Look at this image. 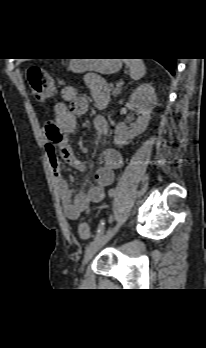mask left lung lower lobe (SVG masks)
<instances>
[{
  "label": "left lung lower lobe",
  "mask_w": 206,
  "mask_h": 348,
  "mask_svg": "<svg viewBox=\"0 0 206 348\" xmlns=\"http://www.w3.org/2000/svg\"><path fill=\"white\" fill-rule=\"evenodd\" d=\"M159 63H161L172 75H174V68L176 58H166V59H157Z\"/></svg>",
  "instance_id": "obj_1"
}]
</instances>
